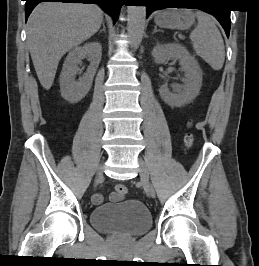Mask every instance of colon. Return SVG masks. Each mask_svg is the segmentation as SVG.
Instances as JSON below:
<instances>
[{"mask_svg": "<svg viewBox=\"0 0 259 266\" xmlns=\"http://www.w3.org/2000/svg\"><path fill=\"white\" fill-rule=\"evenodd\" d=\"M190 125V124H189ZM184 144L186 150H188L193 144V134L191 132H187L184 136ZM127 187L124 184H117L115 186V193L121 197H124L127 194Z\"/></svg>", "mask_w": 259, "mask_h": 266, "instance_id": "obj_1", "label": "colon"}]
</instances>
